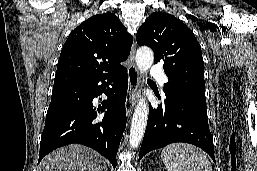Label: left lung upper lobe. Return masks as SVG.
Returning a JSON list of instances; mask_svg holds the SVG:
<instances>
[{
  "instance_id": "5c2ea615",
  "label": "left lung upper lobe",
  "mask_w": 257,
  "mask_h": 171,
  "mask_svg": "<svg viewBox=\"0 0 257 171\" xmlns=\"http://www.w3.org/2000/svg\"><path fill=\"white\" fill-rule=\"evenodd\" d=\"M138 45L153 49L169 81L163 90L182 89L205 96L204 62L193 32L168 13L155 12L137 32Z\"/></svg>"
}]
</instances>
